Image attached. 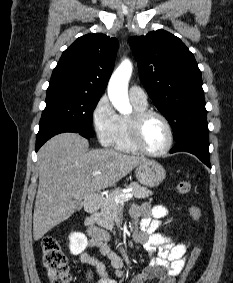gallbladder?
Masks as SVG:
<instances>
[{"instance_id": "1", "label": "gallbladder", "mask_w": 233, "mask_h": 283, "mask_svg": "<svg viewBox=\"0 0 233 283\" xmlns=\"http://www.w3.org/2000/svg\"><path fill=\"white\" fill-rule=\"evenodd\" d=\"M81 208H82V202L78 201L77 204H76V209L79 210Z\"/></svg>"}]
</instances>
